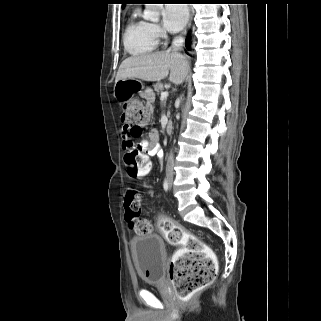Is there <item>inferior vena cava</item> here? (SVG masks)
I'll return each mask as SVG.
<instances>
[{"instance_id":"602c4592","label":"inferior vena cava","mask_w":321,"mask_h":321,"mask_svg":"<svg viewBox=\"0 0 321 321\" xmlns=\"http://www.w3.org/2000/svg\"><path fill=\"white\" fill-rule=\"evenodd\" d=\"M185 40L182 36H177L173 39L172 42V46L171 49L178 51L182 48L183 44H184ZM173 166H174V154L171 151L167 160V167H166V171H167V175L168 176H173Z\"/></svg>"}]
</instances>
